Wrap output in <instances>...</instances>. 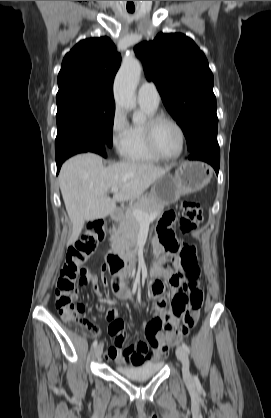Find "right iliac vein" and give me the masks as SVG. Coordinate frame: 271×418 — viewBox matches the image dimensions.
Instances as JSON below:
<instances>
[{
    "mask_svg": "<svg viewBox=\"0 0 271 418\" xmlns=\"http://www.w3.org/2000/svg\"><path fill=\"white\" fill-rule=\"evenodd\" d=\"M102 352H103V345L102 344L97 345L95 347V349H94V355H95V357L97 359H99L101 357V355H102Z\"/></svg>",
    "mask_w": 271,
    "mask_h": 418,
    "instance_id": "1",
    "label": "right iliac vein"
}]
</instances>
